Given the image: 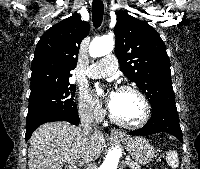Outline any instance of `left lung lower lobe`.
Segmentation results:
<instances>
[{
    "label": "left lung lower lobe",
    "mask_w": 200,
    "mask_h": 169,
    "mask_svg": "<svg viewBox=\"0 0 200 169\" xmlns=\"http://www.w3.org/2000/svg\"><path fill=\"white\" fill-rule=\"evenodd\" d=\"M167 132L182 142V131L175 103H159L152 107V117L147 124L139 130L131 131L130 135H151Z\"/></svg>",
    "instance_id": "obj_1"
}]
</instances>
